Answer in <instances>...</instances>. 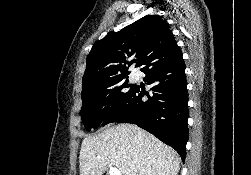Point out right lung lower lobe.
I'll return each mask as SVG.
<instances>
[{
  "instance_id": "1",
  "label": "right lung lower lobe",
  "mask_w": 251,
  "mask_h": 175,
  "mask_svg": "<svg viewBox=\"0 0 251 175\" xmlns=\"http://www.w3.org/2000/svg\"><path fill=\"white\" fill-rule=\"evenodd\" d=\"M145 74L147 84L152 85L151 96L133 88L101 124H136L174 148L184 162L188 141V94L183 58ZM144 95L148 96L147 101L142 100Z\"/></svg>"
}]
</instances>
